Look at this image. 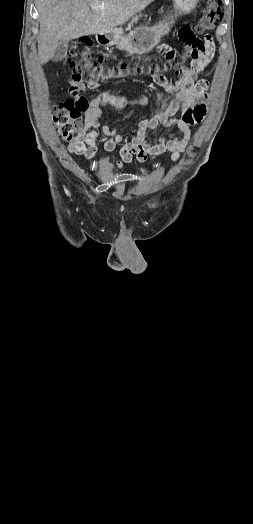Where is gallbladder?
<instances>
[{"label": "gallbladder", "instance_id": "bac80fb5", "mask_svg": "<svg viewBox=\"0 0 253 524\" xmlns=\"http://www.w3.org/2000/svg\"><path fill=\"white\" fill-rule=\"evenodd\" d=\"M67 50H68V41H62L58 45V47H57V49H56V51H55V53H54V55L52 57V61L53 62H60V61H62L66 57V55H67Z\"/></svg>", "mask_w": 253, "mask_h": 524}]
</instances>
